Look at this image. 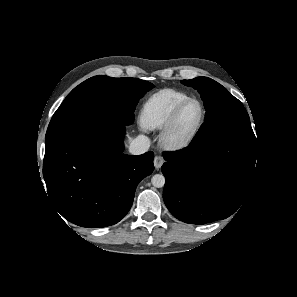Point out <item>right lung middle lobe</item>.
I'll return each instance as SVG.
<instances>
[{"label": "right lung middle lobe", "mask_w": 297, "mask_h": 297, "mask_svg": "<svg viewBox=\"0 0 297 297\" xmlns=\"http://www.w3.org/2000/svg\"><path fill=\"white\" fill-rule=\"evenodd\" d=\"M153 87L135 78L99 75L87 79L54 113L46 133V149L93 128L132 124L139 99Z\"/></svg>", "instance_id": "obj_1"}]
</instances>
